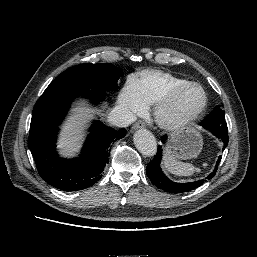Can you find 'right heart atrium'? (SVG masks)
Returning a JSON list of instances; mask_svg holds the SVG:
<instances>
[{"label": "right heart atrium", "mask_w": 257, "mask_h": 257, "mask_svg": "<svg viewBox=\"0 0 257 257\" xmlns=\"http://www.w3.org/2000/svg\"><path fill=\"white\" fill-rule=\"evenodd\" d=\"M118 103L129 117L143 114L148 109V106L140 97L136 79L132 77L128 78L122 87L118 96Z\"/></svg>", "instance_id": "1"}]
</instances>
